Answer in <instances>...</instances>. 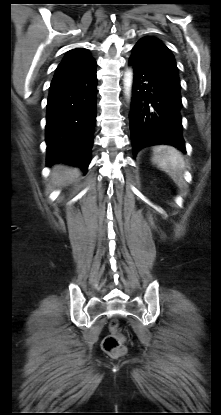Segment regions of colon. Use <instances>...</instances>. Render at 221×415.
Instances as JSON below:
<instances>
[{
  "label": "colon",
  "mask_w": 221,
  "mask_h": 415,
  "mask_svg": "<svg viewBox=\"0 0 221 415\" xmlns=\"http://www.w3.org/2000/svg\"><path fill=\"white\" fill-rule=\"evenodd\" d=\"M111 334L104 338L102 342L103 350L113 356L121 355L125 348L123 346V336L117 330V322L110 323Z\"/></svg>",
  "instance_id": "5ec220e1"
}]
</instances>
